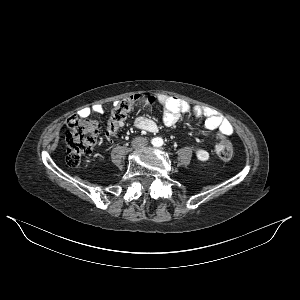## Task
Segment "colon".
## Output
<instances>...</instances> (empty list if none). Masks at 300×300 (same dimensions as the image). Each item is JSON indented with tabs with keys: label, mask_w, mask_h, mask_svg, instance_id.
<instances>
[{
	"label": "colon",
	"mask_w": 300,
	"mask_h": 300,
	"mask_svg": "<svg viewBox=\"0 0 300 300\" xmlns=\"http://www.w3.org/2000/svg\"><path fill=\"white\" fill-rule=\"evenodd\" d=\"M152 96L134 95L117 102L108 121L105 124V135L112 139L118 129L124 124L128 114L133 109H147L155 104ZM69 133L66 137V162L69 166L81 167L83 157L89 155L98 136V124L81 115H73L66 121ZM218 156L229 160L233 156V146L227 140L220 141L216 146Z\"/></svg>",
	"instance_id": "1"
}]
</instances>
